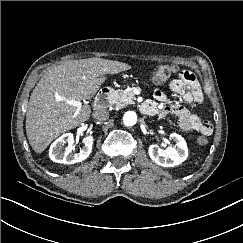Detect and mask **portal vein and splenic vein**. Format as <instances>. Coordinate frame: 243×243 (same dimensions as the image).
Wrapping results in <instances>:
<instances>
[{"label": "portal vein and splenic vein", "mask_w": 243, "mask_h": 243, "mask_svg": "<svg viewBox=\"0 0 243 243\" xmlns=\"http://www.w3.org/2000/svg\"><path fill=\"white\" fill-rule=\"evenodd\" d=\"M67 103L69 105L77 107L78 109H80L81 106H82V102L81 101H77V100H68Z\"/></svg>", "instance_id": "obj_1"}]
</instances>
